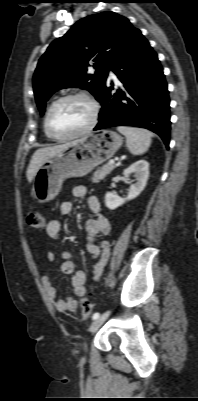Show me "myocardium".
I'll return each mask as SVG.
<instances>
[{"mask_svg":"<svg viewBox=\"0 0 198 401\" xmlns=\"http://www.w3.org/2000/svg\"><path fill=\"white\" fill-rule=\"evenodd\" d=\"M69 99H82V100L86 101L92 108V117H91L89 124L82 130H80L76 133L67 135V136H59V135H56L52 131L51 116H52V113L54 112V110L56 109V107L60 103L66 101V100H69ZM99 115H100V105L92 96H90L86 93H83V92L69 93L64 96L59 97L50 105V107L46 113V117H45V129L50 138H52L56 141H68V140L80 137L82 135H85V134L89 133L91 130H93L98 123Z\"/></svg>","mask_w":198,"mask_h":401,"instance_id":"obj_1","label":"myocardium"}]
</instances>
